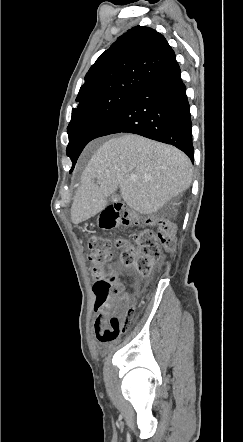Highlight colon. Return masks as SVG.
<instances>
[{"instance_id":"1","label":"colon","mask_w":243,"mask_h":442,"mask_svg":"<svg viewBox=\"0 0 243 442\" xmlns=\"http://www.w3.org/2000/svg\"><path fill=\"white\" fill-rule=\"evenodd\" d=\"M138 224V219L128 211L125 205L112 200L98 218V226L104 231H110L117 226ZM150 225L158 226L157 231L144 230L136 238V246L126 239L120 238L115 246L120 250L121 262L125 266H134L141 276H149L153 263L158 260L162 251L171 253L175 250L173 230L165 223L151 219ZM110 239L94 235L88 241L91 274L94 279L95 308L114 306L119 294L116 270L110 263ZM134 306H128L123 312L114 313L110 325L101 335L102 341H113L121 333L128 331L135 318Z\"/></svg>"}]
</instances>
